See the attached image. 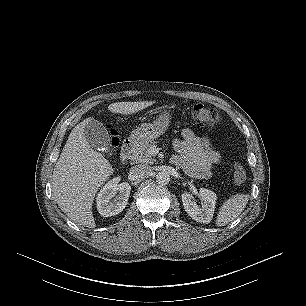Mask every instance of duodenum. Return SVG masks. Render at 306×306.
<instances>
[{"label": "duodenum", "instance_id": "1", "mask_svg": "<svg viewBox=\"0 0 306 306\" xmlns=\"http://www.w3.org/2000/svg\"><path fill=\"white\" fill-rule=\"evenodd\" d=\"M135 148V142L131 140H127L123 143L120 152V159L122 162H126L131 154L133 153Z\"/></svg>", "mask_w": 306, "mask_h": 306}]
</instances>
